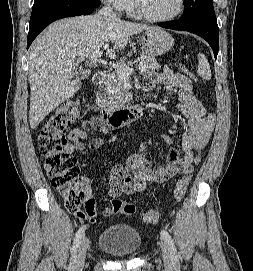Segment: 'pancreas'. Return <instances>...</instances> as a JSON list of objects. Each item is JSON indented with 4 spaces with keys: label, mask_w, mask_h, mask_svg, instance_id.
Returning a JSON list of instances; mask_svg holds the SVG:
<instances>
[{
    "label": "pancreas",
    "mask_w": 253,
    "mask_h": 271,
    "mask_svg": "<svg viewBox=\"0 0 253 271\" xmlns=\"http://www.w3.org/2000/svg\"><path fill=\"white\" fill-rule=\"evenodd\" d=\"M129 56H131V54H129ZM140 59L141 63L145 65L146 71H154L160 68L159 63L156 61L154 56L149 54L146 50H142ZM120 64L129 66L132 62L129 61L126 63L123 59ZM124 82V78L121 77L117 71L108 73L103 84L105 89L103 92H99L97 94L96 101L98 105L106 110H111L123 105L128 98L124 89Z\"/></svg>",
    "instance_id": "pancreas-1"
}]
</instances>
